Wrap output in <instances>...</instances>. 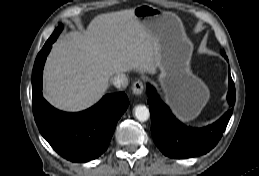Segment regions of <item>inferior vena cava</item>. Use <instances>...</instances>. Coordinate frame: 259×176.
<instances>
[{
  "mask_svg": "<svg viewBox=\"0 0 259 176\" xmlns=\"http://www.w3.org/2000/svg\"><path fill=\"white\" fill-rule=\"evenodd\" d=\"M111 83L116 88H126L128 86V77L124 73H119L111 78Z\"/></svg>",
  "mask_w": 259,
  "mask_h": 176,
  "instance_id": "1",
  "label": "inferior vena cava"
}]
</instances>
